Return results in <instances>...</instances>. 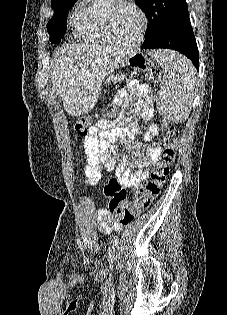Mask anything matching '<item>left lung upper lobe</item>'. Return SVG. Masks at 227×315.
Listing matches in <instances>:
<instances>
[{"label":"left lung upper lobe","instance_id":"left-lung-upper-lobe-1","mask_svg":"<svg viewBox=\"0 0 227 315\" xmlns=\"http://www.w3.org/2000/svg\"><path fill=\"white\" fill-rule=\"evenodd\" d=\"M135 3L149 20L145 40L154 38L169 25L189 19L186 0H135Z\"/></svg>","mask_w":227,"mask_h":315}]
</instances>
